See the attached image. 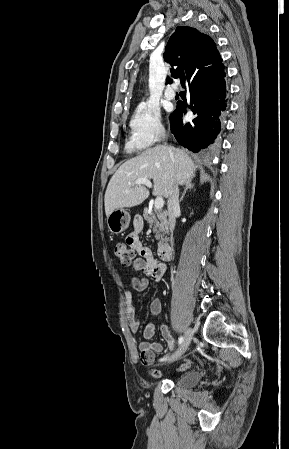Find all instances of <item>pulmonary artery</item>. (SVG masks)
I'll return each mask as SVG.
<instances>
[{"mask_svg":"<svg viewBox=\"0 0 289 449\" xmlns=\"http://www.w3.org/2000/svg\"><path fill=\"white\" fill-rule=\"evenodd\" d=\"M175 95H176V91H175V89H174L173 87H168V88L166 89V91H165V97H166L167 99L172 100V99H174Z\"/></svg>","mask_w":289,"mask_h":449,"instance_id":"pulmonary-artery-1","label":"pulmonary artery"}]
</instances>
